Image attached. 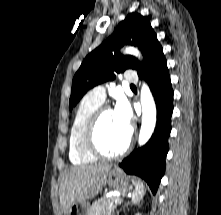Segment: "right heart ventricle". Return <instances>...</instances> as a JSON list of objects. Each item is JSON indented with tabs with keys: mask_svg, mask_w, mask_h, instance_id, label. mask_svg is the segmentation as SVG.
<instances>
[{
	"mask_svg": "<svg viewBox=\"0 0 221 215\" xmlns=\"http://www.w3.org/2000/svg\"><path fill=\"white\" fill-rule=\"evenodd\" d=\"M102 102L86 95L79 103L73 117L70 133L68 156L71 163L75 165L90 164L96 161L85 147L84 136L88 123Z\"/></svg>",
	"mask_w": 221,
	"mask_h": 215,
	"instance_id": "obj_1",
	"label": "right heart ventricle"
}]
</instances>
